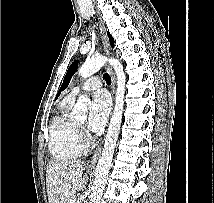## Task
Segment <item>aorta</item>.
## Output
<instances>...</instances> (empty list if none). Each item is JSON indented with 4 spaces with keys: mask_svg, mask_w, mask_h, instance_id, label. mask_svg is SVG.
I'll return each mask as SVG.
<instances>
[{
    "mask_svg": "<svg viewBox=\"0 0 214 203\" xmlns=\"http://www.w3.org/2000/svg\"><path fill=\"white\" fill-rule=\"evenodd\" d=\"M106 62H108L115 71L117 78V91L115 97V107L110 120L104 148L96 167L94 186L90 195V203H101L103 190L107 182L114 149L122 122L126 76L123 70V65L119 60L114 58L108 59L107 57L101 55L93 56L79 69V75L81 78L86 79L99 71ZM88 102L89 98L86 96L79 97L78 102L70 114L72 120L82 121L86 118Z\"/></svg>",
    "mask_w": 214,
    "mask_h": 203,
    "instance_id": "762f6f07",
    "label": "aorta"
}]
</instances>
